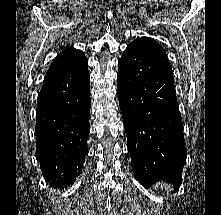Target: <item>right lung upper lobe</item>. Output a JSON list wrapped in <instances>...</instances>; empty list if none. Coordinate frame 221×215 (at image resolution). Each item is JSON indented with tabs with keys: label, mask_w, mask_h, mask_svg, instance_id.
<instances>
[{
	"label": "right lung upper lobe",
	"mask_w": 221,
	"mask_h": 215,
	"mask_svg": "<svg viewBox=\"0 0 221 215\" xmlns=\"http://www.w3.org/2000/svg\"><path fill=\"white\" fill-rule=\"evenodd\" d=\"M84 56V52L78 49H75L73 47L67 48L63 50L53 61L50 68L48 69L46 75H50L53 73H56L60 70H63L80 59H82Z\"/></svg>",
	"instance_id": "right-lung-upper-lobe-1"
}]
</instances>
